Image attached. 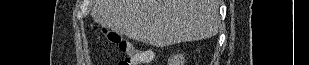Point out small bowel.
<instances>
[{
    "instance_id": "obj_1",
    "label": "small bowel",
    "mask_w": 309,
    "mask_h": 65,
    "mask_svg": "<svg viewBox=\"0 0 309 65\" xmlns=\"http://www.w3.org/2000/svg\"><path fill=\"white\" fill-rule=\"evenodd\" d=\"M150 59H151V53H150L149 58H148V59H147L144 63H146V62L150 61Z\"/></svg>"
}]
</instances>
